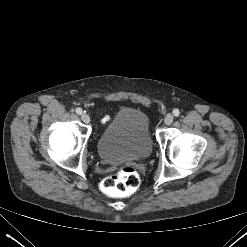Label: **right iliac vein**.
Here are the masks:
<instances>
[{
	"label": "right iliac vein",
	"mask_w": 247,
	"mask_h": 247,
	"mask_svg": "<svg viewBox=\"0 0 247 247\" xmlns=\"http://www.w3.org/2000/svg\"><path fill=\"white\" fill-rule=\"evenodd\" d=\"M81 119H82V121L84 122V123H89L90 122V117H89V115L88 114H86V113H83L82 115H81Z\"/></svg>",
	"instance_id": "obj_1"
}]
</instances>
